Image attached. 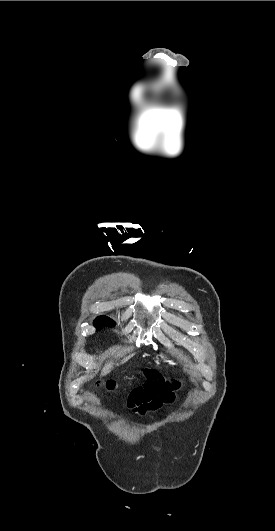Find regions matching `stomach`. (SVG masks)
Instances as JSON below:
<instances>
[{
  "label": "stomach",
  "mask_w": 275,
  "mask_h": 531,
  "mask_svg": "<svg viewBox=\"0 0 275 531\" xmlns=\"http://www.w3.org/2000/svg\"><path fill=\"white\" fill-rule=\"evenodd\" d=\"M157 357H160V359H161V361H163V363H171V361H168L167 357H164V355H157V353L154 350H149L146 353V358L149 361H154Z\"/></svg>",
  "instance_id": "0dacf381"
}]
</instances>
